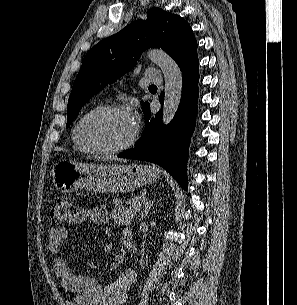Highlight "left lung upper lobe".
<instances>
[{
  "instance_id": "5c2ea615",
  "label": "left lung upper lobe",
  "mask_w": 297,
  "mask_h": 305,
  "mask_svg": "<svg viewBox=\"0 0 297 305\" xmlns=\"http://www.w3.org/2000/svg\"><path fill=\"white\" fill-rule=\"evenodd\" d=\"M153 47L166 51L180 68L198 63L197 41L189 24L178 15L152 8L146 20L132 22L87 52L68 100L66 127L94 94L132 69L141 52Z\"/></svg>"
}]
</instances>
